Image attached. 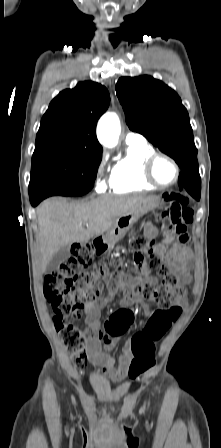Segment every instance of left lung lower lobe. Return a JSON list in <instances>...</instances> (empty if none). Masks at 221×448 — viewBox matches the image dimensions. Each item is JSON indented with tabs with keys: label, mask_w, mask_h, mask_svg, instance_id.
I'll return each instance as SVG.
<instances>
[{
	"label": "left lung lower lobe",
	"mask_w": 221,
	"mask_h": 448,
	"mask_svg": "<svg viewBox=\"0 0 221 448\" xmlns=\"http://www.w3.org/2000/svg\"><path fill=\"white\" fill-rule=\"evenodd\" d=\"M178 184L180 190L186 189L187 192L196 200L200 199L201 179L198 169H185L179 174Z\"/></svg>",
	"instance_id": "left-lung-lower-lobe-1"
}]
</instances>
